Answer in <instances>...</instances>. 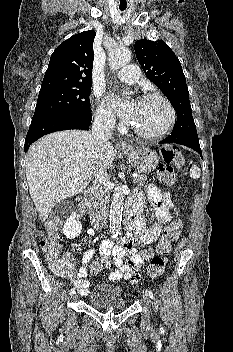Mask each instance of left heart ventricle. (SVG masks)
<instances>
[{"instance_id": "b2bd125f", "label": "left heart ventricle", "mask_w": 233, "mask_h": 352, "mask_svg": "<svg viewBox=\"0 0 233 352\" xmlns=\"http://www.w3.org/2000/svg\"><path fill=\"white\" fill-rule=\"evenodd\" d=\"M169 119L166 105L158 99L139 100L136 102L132 125L145 132L161 130Z\"/></svg>"}]
</instances>
